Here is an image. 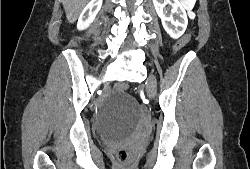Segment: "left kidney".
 <instances>
[{"mask_svg":"<svg viewBox=\"0 0 250 169\" xmlns=\"http://www.w3.org/2000/svg\"><path fill=\"white\" fill-rule=\"evenodd\" d=\"M153 4L166 32L172 38H179L188 24L186 10L180 0H153Z\"/></svg>","mask_w":250,"mask_h":169,"instance_id":"left-kidney-1","label":"left kidney"}]
</instances>
